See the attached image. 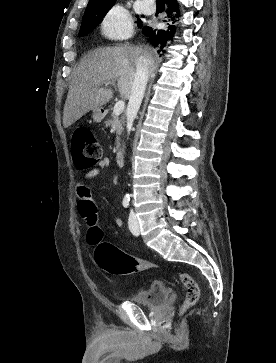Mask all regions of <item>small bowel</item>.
<instances>
[{"instance_id":"small-bowel-1","label":"small bowel","mask_w":276,"mask_h":363,"mask_svg":"<svg viewBox=\"0 0 276 363\" xmlns=\"http://www.w3.org/2000/svg\"><path fill=\"white\" fill-rule=\"evenodd\" d=\"M109 165V160L104 158L98 162L92 170L87 172L86 178H93L98 175L102 170H104ZM76 195L78 198V211L80 216L86 220L89 225L97 217V207L92 200L91 190L88 185L81 183L77 186ZM115 224L117 226H122L123 221L120 217L115 219Z\"/></svg>"}]
</instances>
